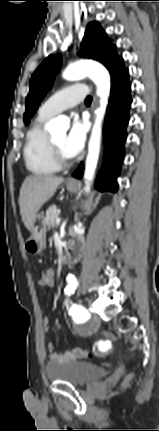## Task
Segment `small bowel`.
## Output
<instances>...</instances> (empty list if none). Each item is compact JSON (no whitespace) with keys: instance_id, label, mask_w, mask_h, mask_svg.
Masks as SVG:
<instances>
[{"instance_id":"1","label":"small bowel","mask_w":159,"mask_h":431,"mask_svg":"<svg viewBox=\"0 0 159 431\" xmlns=\"http://www.w3.org/2000/svg\"><path fill=\"white\" fill-rule=\"evenodd\" d=\"M52 271H53V268L50 265H47L45 267V270L42 271L41 278L39 281V285L41 287L49 288V283L46 279H49L52 276V273H51ZM53 277L55 278V273H54ZM42 324H43L44 331L48 332L50 329L49 318L45 317L42 321ZM83 350L84 349H82L80 347H73L72 349H70L68 351H65L63 353H59L56 351L54 343L49 342L47 344V351L49 354V360L51 362H54V363H65V362H70V361H75L77 359H80V358H82Z\"/></svg>"}]
</instances>
